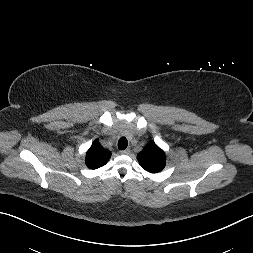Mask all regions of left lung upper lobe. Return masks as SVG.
<instances>
[{
  "instance_id": "obj_1",
  "label": "left lung upper lobe",
  "mask_w": 253,
  "mask_h": 253,
  "mask_svg": "<svg viewBox=\"0 0 253 253\" xmlns=\"http://www.w3.org/2000/svg\"><path fill=\"white\" fill-rule=\"evenodd\" d=\"M142 168L150 173H157L163 170L166 164L165 154L153 141L149 142L137 155Z\"/></svg>"
}]
</instances>
